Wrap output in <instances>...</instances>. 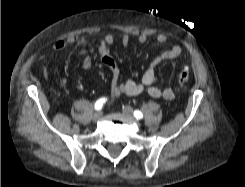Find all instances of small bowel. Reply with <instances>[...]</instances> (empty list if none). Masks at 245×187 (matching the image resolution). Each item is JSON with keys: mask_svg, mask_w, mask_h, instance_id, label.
Listing matches in <instances>:
<instances>
[{"mask_svg": "<svg viewBox=\"0 0 245 187\" xmlns=\"http://www.w3.org/2000/svg\"><path fill=\"white\" fill-rule=\"evenodd\" d=\"M76 38L66 40H58L52 47L51 52L57 53L62 51L67 42H76ZM115 38L113 35H105L100 44L99 55L101 61L105 67L109 70L111 75L110 91L111 99L121 95L136 96L142 93H146L149 96L162 100H172L174 98V92L171 88L161 89L155 85L156 70L159 65L164 62L174 60L181 55V47L177 44H173L168 47L166 50L158 54L148 65L145 72L142 75V78L139 82L128 79L125 81H120V70L119 67L110 53V46L114 43ZM137 41L141 44H144L148 41V35L145 33H140L137 35ZM156 41L159 44H165L167 42V36L164 34H158L156 36ZM120 42L123 46H128L130 43V36L124 34L120 38ZM91 66V60L88 56H83L78 64L80 70H87ZM43 72L47 78L51 76V71L48 66L44 65L42 67Z\"/></svg>", "mask_w": 245, "mask_h": 187, "instance_id": "small-bowel-1", "label": "small bowel"}]
</instances>
